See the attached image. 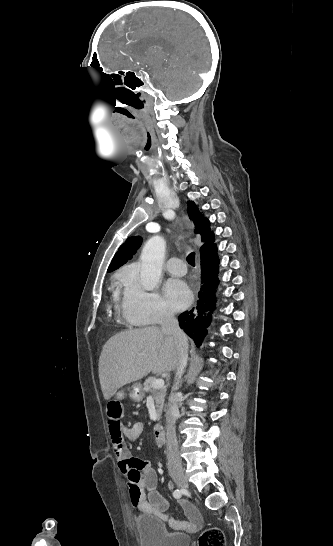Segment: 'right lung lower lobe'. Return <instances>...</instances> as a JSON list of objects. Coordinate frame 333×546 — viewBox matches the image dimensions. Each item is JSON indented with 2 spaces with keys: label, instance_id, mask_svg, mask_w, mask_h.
Returning <instances> with one entry per match:
<instances>
[{
  "label": "right lung lower lobe",
  "instance_id": "right-lung-lower-lobe-1",
  "mask_svg": "<svg viewBox=\"0 0 333 546\" xmlns=\"http://www.w3.org/2000/svg\"><path fill=\"white\" fill-rule=\"evenodd\" d=\"M216 245L206 254L201 255V288L198 293L197 307L180 314V327L188 334L197 346L205 337L206 328L211 322V312L216 304V287L218 286L219 260Z\"/></svg>",
  "mask_w": 333,
  "mask_h": 546
}]
</instances>
